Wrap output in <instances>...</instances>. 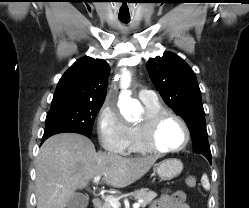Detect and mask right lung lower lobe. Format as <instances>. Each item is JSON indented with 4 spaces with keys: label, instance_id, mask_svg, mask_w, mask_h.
I'll use <instances>...</instances> for the list:
<instances>
[{
    "label": "right lung lower lobe",
    "instance_id": "obj_1",
    "mask_svg": "<svg viewBox=\"0 0 249 208\" xmlns=\"http://www.w3.org/2000/svg\"><path fill=\"white\" fill-rule=\"evenodd\" d=\"M63 132H66V131H61V130L45 131V132H44V135H43V138H42V143H43L47 138H49L50 136L55 135V134H58V133H63Z\"/></svg>",
    "mask_w": 249,
    "mask_h": 208
}]
</instances>
